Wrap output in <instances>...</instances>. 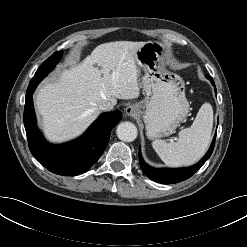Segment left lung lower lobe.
Masks as SVG:
<instances>
[{
	"instance_id": "obj_1",
	"label": "left lung lower lobe",
	"mask_w": 247,
	"mask_h": 247,
	"mask_svg": "<svg viewBox=\"0 0 247 247\" xmlns=\"http://www.w3.org/2000/svg\"><path fill=\"white\" fill-rule=\"evenodd\" d=\"M206 77L211 81L212 85L215 87L214 81L211 76L206 75ZM216 92V88H215ZM216 134L213 138L211 146L205 156L195 165L190 166L188 168H178V169H155L147 165L141 155L139 150V161L142 171L146 176H148L153 181L163 183V184H174L181 181H184L190 178L196 171H198L202 165L207 161V159L211 156L214 146H215Z\"/></svg>"
}]
</instances>
